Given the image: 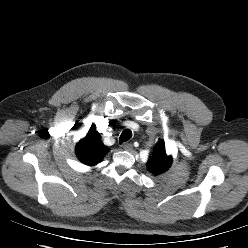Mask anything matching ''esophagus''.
<instances>
[{
  "mask_svg": "<svg viewBox=\"0 0 248 248\" xmlns=\"http://www.w3.org/2000/svg\"><path fill=\"white\" fill-rule=\"evenodd\" d=\"M122 147L126 151H131L133 149V146L131 143H125Z\"/></svg>",
  "mask_w": 248,
  "mask_h": 248,
  "instance_id": "esophagus-1",
  "label": "esophagus"
}]
</instances>
